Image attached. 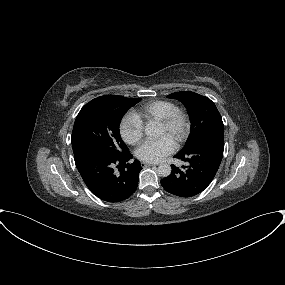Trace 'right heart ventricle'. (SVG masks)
I'll list each match as a JSON object with an SVG mask.
<instances>
[{"label": "right heart ventricle", "mask_w": 285, "mask_h": 285, "mask_svg": "<svg viewBox=\"0 0 285 285\" xmlns=\"http://www.w3.org/2000/svg\"><path fill=\"white\" fill-rule=\"evenodd\" d=\"M177 106L166 100H154L140 106L135 115L142 121V123H149L150 121H160L174 111Z\"/></svg>", "instance_id": "1"}]
</instances>
